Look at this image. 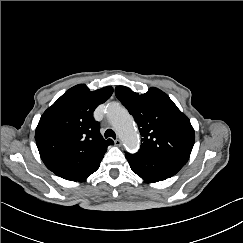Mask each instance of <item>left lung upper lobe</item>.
Wrapping results in <instances>:
<instances>
[{
  "label": "left lung upper lobe",
  "instance_id": "left-lung-upper-lobe-1",
  "mask_svg": "<svg viewBox=\"0 0 243 243\" xmlns=\"http://www.w3.org/2000/svg\"><path fill=\"white\" fill-rule=\"evenodd\" d=\"M115 94L138 125L142 137L138 154L188 161L195 132L167 94L152 87L139 95L125 86L116 87Z\"/></svg>",
  "mask_w": 243,
  "mask_h": 243
}]
</instances>
